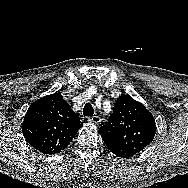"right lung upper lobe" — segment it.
<instances>
[{
	"instance_id": "cb5924a9",
	"label": "right lung upper lobe",
	"mask_w": 188,
	"mask_h": 188,
	"mask_svg": "<svg viewBox=\"0 0 188 188\" xmlns=\"http://www.w3.org/2000/svg\"><path fill=\"white\" fill-rule=\"evenodd\" d=\"M82 122L60 93L33 102L22 124L26 141L43 154H56L71 142Z\"/></svg>"
}]
</instances>
